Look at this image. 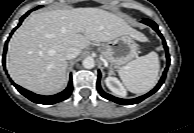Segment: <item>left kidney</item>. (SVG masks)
<instances>
[{"label": "left kidney", "instance_id": "obj_1", "mask_svg": "<svg viewBox=\"0 0 194 133\" xmlns=\"http://www.w3.org/2000/svg\"><path fill=\"white\" fill-rule=\"evenodd\" d=\"M106 86L116 95L125 96L126 91L120 81L115 77H107L105 80Z\"/></svg>", "mask_w": 194, "mask_h": 133}]
</instances>
